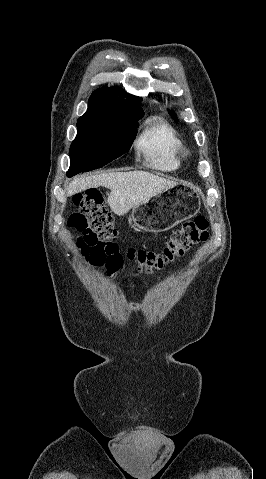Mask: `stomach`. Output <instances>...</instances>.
Returning <instances> with one entry per match:
<instances>
[{
  "instance_id": "1",
  "label": "stomach",
  "mask_w": 266,
  "mask_h": 479,
  "mask_svg": "<svg viewBox=\"0 0 266 479\" xmlns=\"http://www.w3.org/2000/svg\"><path fill=\"white\" fill-rule=\"evenodd\" d=\"M200 207V191L193 185L178 183L135 206L134 225L143 231H167L193 217Z\"/></svg>"
}]
</instances>
